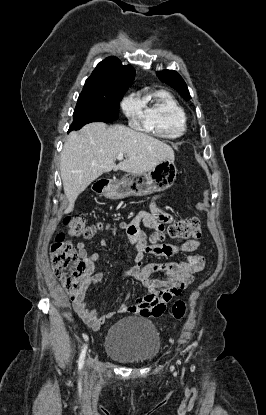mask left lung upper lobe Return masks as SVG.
Segmentation results:
<instances>
[{
	"mask_svg": "<svg viewBox=\"0 0 266 415\" xmlns=\"http://www.w3.org/2000/svg\"><path fill=\"white\" fill-rule=\"evenodd\" d=\"M157 76L162 82L170 85L172 88L177 90L186 101L191 99V96L189 94L185 81L176 71L174 70L159 71L157 72Z\"/></svg>",
	"mask_w": 266,
	"mask_h": 415,
	"instance_id": "5c2ea615",
	"label": "left lung upper lobe"
}]
</instances>
